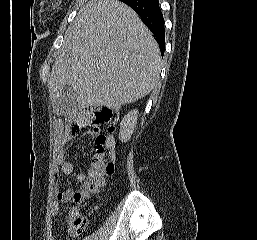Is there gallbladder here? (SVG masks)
Returning <instances> with one entry per match:
<instances>
[{
  "instance_id": "gallbladder-1",
  "label": "gallbladder",
  "mask_w": 257,
  "mask_h": 240,
  "mask_svg": "<svg viewBox=\"0 0 257 240\" xmlns=\"http://www.w3.org/2000/svg\"><path fill=\"white\" fill-rule=\"evenodd\" d=\"M77 107V99L73 95V90L68 87L64 90L63 95L53 103V109L57 115L67 116Z\"/></svg>"
}]
</instances>
